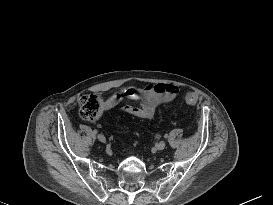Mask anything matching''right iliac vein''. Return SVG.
<instances>
[{
	"instance_id": "63e3f726",
	"label": "right iliac vein",
	"mask_w": 273,
	"mask_h": 205,
	"mask_svg": "<svg viewBox=\"0 0 273 205\" xmlns=\"http://www.w3.org/2000/svg\"><path fill=\"white\" fill-rule=\"evenodd\" d=\"M97 138H98V140H99L100 142H102V143H105V142H106V138H105V136L102 135V134H99V135L97 136Z\"/></svg>"
}]
</instances>
